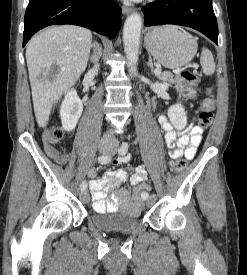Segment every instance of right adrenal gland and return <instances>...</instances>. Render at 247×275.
<instances>
[{"label":"right adrenal gland","mask_w":247,"mask_h":275,"mask_svg":"<svg viewBox=\"0 0 247 275\" xmlns=\"http://www.w3.org/2000/svg\"><path fill=\"white\" fill-rule=\"evenodd\" d=\"M100 55H101V54H99V56H100ZM90 61H91V62H94V56H91V57H90Z\"/></svg>","instance_id":"right-adrenal-gland-1"}]
</instances>
